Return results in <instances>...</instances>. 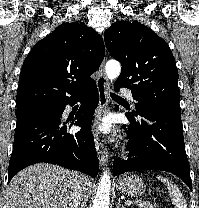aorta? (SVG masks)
I'll use <instances>...</instances> for the list:
<instances>
[{"instance_id":"1","label":"aorta","mask_w":199,"mask_h":208,"mask_svg":"<svg viewBox=\"0 0 199 208\" xmlns=\"http://www.w3.org/2000/svg\"><path fill=\"white\" fill-rule=\"evenodd\" d=\"M105 72L110 80L119 77L121 65L116 60H109L106 63ZM111 180L110 173L106 170L100 178L92 208H109Z\"/></svg>"}]
</instances>
